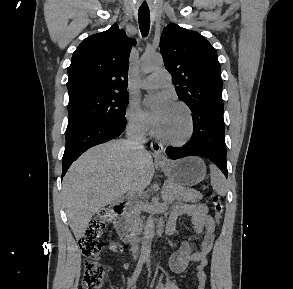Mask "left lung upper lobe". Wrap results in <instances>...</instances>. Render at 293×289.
Listing matches in <instances>:
<instances>
[{
    "label": "left lung upper lobe",
    "instance_id": "obj_1",
    "mask_svg": "<svg viewBox=\"0 0 293 289\" xmlns=\"http://www.w3.org/2000/svg\"><path fill=\"white\" fill-rule=\"evenodd\" d=\"M160 48L179 99L191 111L223 112L221 67L216 49L207 39L170 23L162 32Z\"/></svg>",
    "mask_w": 293,
    "mask_h": 289
}]
</instances>
